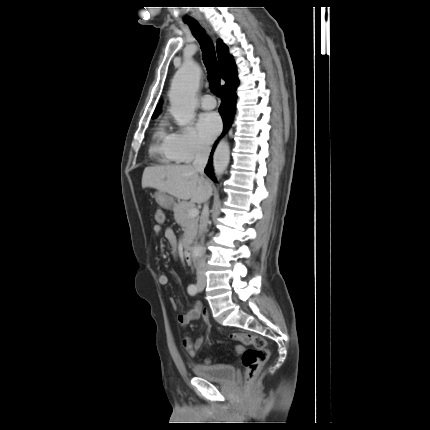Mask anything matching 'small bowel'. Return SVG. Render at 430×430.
I'll return each mask as SVG.
<instances>
[{
	"label": "small bowel",
	"instance_id": "c3829d8e",
	"mask_svg": "<svg viewBox=\"0 0 430 430\" xmlns=\"http://www.w3.org/2000/svg\"><path fill=\"white\" fill-rule=\"evenodd\" d=\"M153 232L155 235H160L162 233V227L160 225H155L153 227ZM165 238L170 243L171 252L173 255L177 254V239L171 228H167L164 232ZM160 285L166 286L169 283V278L166 274H161L158 278ZM173 309H177V304L175 301H171ZM202 313V305L200 302H194L191 308L184 314L178 316L177 321L181 326H186L190 322L198 319ZM205 321L208 323V316L205 315ZM204 344V338L202 336L198 337L194 342L188 336L183 337L182 345L189 357L195 358L198 352L201 350ZM239 349H243L241 346H237Z\"/></svg>",
	"mask_w": 430,
	"mask_h": 430
}]
</instances>
